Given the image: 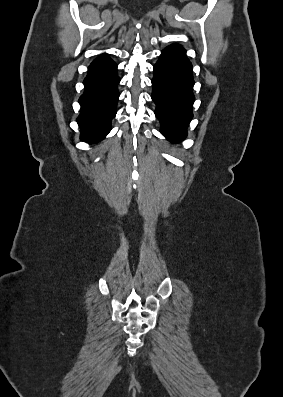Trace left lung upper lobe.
<instances>
[{"label":"left lung upper lobe","instance_id":"5c2ea615","mask_svg":"<svg viewBox=\"0 0 283 397\" xmlns=\"http://www.w3.org/2000/svg\"><path fill=\"white\" fill-rule=\"evenodd\" d=\"M175 46H177L178 48H180V49H182L183 51H185L186 52V50L182 47V46H180V45H177V44H175Z\"/></svg>","mask_w":283,"mask_h":397}]
</instances>
